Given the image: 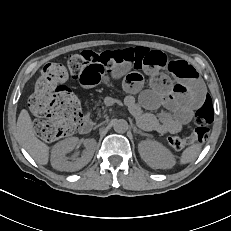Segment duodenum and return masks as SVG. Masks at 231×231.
<instances>
[{
    "mask_svg": "<svg viewBox=\"0 0 231 231\" xmlns=\"http://www.w3.org/2000/svg\"><path fill=\"white\" fill-rule=\"evenodd\" d=\"M93 122L90 118H85L80 125L79 131L81 134H87L92 130Z\"/></svg>",
    "mask_w": 231,
    "mask_h": 231,
    "instance_id": "1",
    "label": "duodenum"
}]
</instances>
